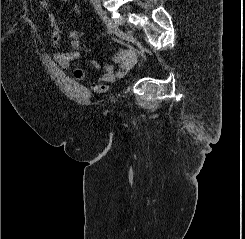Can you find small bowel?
Returning <instances> with one entry per match:
<instances>
[{
  "label": "small bowel",
  "mask_w": 245,
  "mask_h": 239,
  "mask_svg": "<svg viewBox=\"0 0 245 239\" xmlns=\"http://www.w3.org/2000/svg\"><path fill=\"white\" fill-rule=\"evenodd\" d=\"M67 0H41L40 6L48 10L51 8L53 2L64 3ZM50 18L52 20V42L55 47L56 54L55 58L58 65L62 69L70 68L71 64L78 60L80 57V51L82 49V43L80 39L84 36L82 31H72L67 35L68 43L71 47V51L64 52L60 50L61 42H60V31L58 26L55 23L54 15L51 14ZM114 63L118 64V67H114L111 64H102L98 60H92L91 66L93 69L97 71H102V76L96 82H91L89 84V89L96 93H105L109 90L110 84L116 79H122L125 77L126 72L129 67V60L126 57L123 51H117L113 56ZM73 80L76 82H80L85 78V72L76 68L72 72Z\"/></svg>",
  "instance_id": "c3829d8e"
}]
</instances>
